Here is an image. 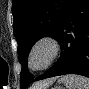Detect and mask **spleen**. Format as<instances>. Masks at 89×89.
I'll list each match as a JSON object with an SVG mask.
<instances>
[{
  "instance_id": "obj_1",
  "label": "spleen",
  "mask_w": 89,
  "mask_h": 89,
  "mask_svg": "<svg viewBox=\"0 0 89 89\" xmlns=\"http://www.w3.org/2000/svg\"><path fill=\"white\" fill-rule=\"evenodd\" d=\"M60 81L66 86V89H89V79L81 75H65Z\"/></svg>"
}]
</instances>
